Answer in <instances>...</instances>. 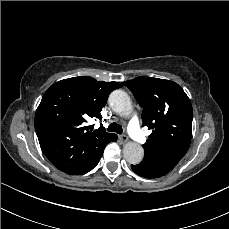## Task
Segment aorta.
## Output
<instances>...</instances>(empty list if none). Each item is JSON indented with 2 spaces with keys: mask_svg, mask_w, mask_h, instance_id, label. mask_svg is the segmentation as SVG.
I'll use <instances>...</instances> for the list:
<instances>
[{
  "mask_svg": "<svg viewBox=\"0 0 229 229\" xmlns=\"http://www.w3.org/2000/svg\"><path fill=\"white\" fill-rule=\"evenodd\" d=\"M109 105L118 114L129 116L132 113V102L123 90H115L109 96ZM125 160L133 165L139 164L144 157L143 147L133 141L127 142L123 147Z\"/></svg>",
  "mask_w": 229,
  "mask_h": 229,
  "instance_id": "aorta-1",
  "label": "aorta"
}]
</instances>
